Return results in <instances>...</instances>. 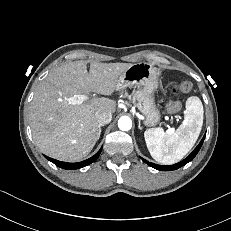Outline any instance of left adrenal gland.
I'll list each match as a JSON object with an SVG mask.
<instances>
[{"mask_svg": "<svg viewBox=\"0 0 231 231\" xmlns=\"http://www.w3.org/2000/svg\"><path fill=\"white\" fill-rule=\"evenodd\" d=\"M138 128H139L140 130H142L140 121H139V124H138Z\"/></svg>", "mask_w": 231, "mask_h": 231, "instance_id": "a2214340", "label": "left adrenal gland"}]
</instances>
